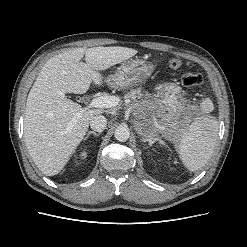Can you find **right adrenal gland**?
Wrapping results in <instances>:
<instances>
[{
    "label": "right adrenal gland",
    "instance_id": "2a0ac1e0",
    "mask_svg": "<svg viewBox=\"0 0 247 247\" xmlns=\"http://www.w3.org/2000/svg\"><path fill=\"white\" fill-rule=\"evenodd\" d=\"M91 134H93L94 136H99L101 133H100V132H99V133H96V132H94V131H89V132L87 133L86 137L84 138V141H85L86 139H88V137H89Z\"/></svg>",
    "mask_w": 247,
    "mask_h": 247
}]
</instances>
